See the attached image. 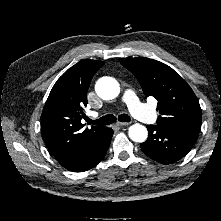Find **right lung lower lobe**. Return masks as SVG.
Masks as SVG:
<instances>
[{
	"instance_id": "right-lung-lower-lobe-1",
	"label": "right lung lower lobe",
	"mask_w": 221,
	"mask_h": 221,
	"mask_svg": "<svg viewBox=\"0 0 221 221\" xmlns=\"http://www.w3.org/2000/svg\"><path fill=\"white\" fill-rule=\"evenodd\" d=\"M112 136L113 130L106 127L103 133L92 144L60 164L73 172H82L91 169L105 156Z\"/></svg>"
}]
</instances>
